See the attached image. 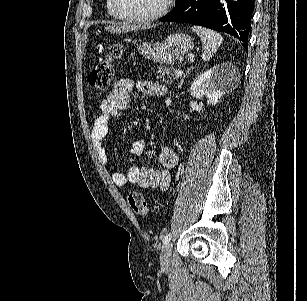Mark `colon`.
<instances>
[{
  "mask_svg": "<svg viewBox=\"0 0 307 301\" xmlns=\"http://www.w3.org/2000/svg\"><path fill=\"white\" fill-rule=\"evenodd\" d=\"M122 54L123 47L114 45L109 49L106 58L96 64L88 76V84L92 89L105 92L109 88L114 77V63ZM128 202L136 214L141 216L148 214L147 201L140 192H131L128 195Z\"/></svg>",
  "mask_w": 307,
  "mask_h": 301,
  "instance_id": "obj_1",
  "label": "colon"
}]
</instances>
